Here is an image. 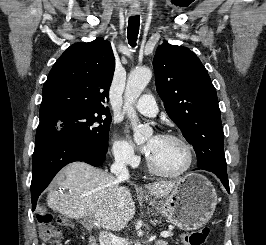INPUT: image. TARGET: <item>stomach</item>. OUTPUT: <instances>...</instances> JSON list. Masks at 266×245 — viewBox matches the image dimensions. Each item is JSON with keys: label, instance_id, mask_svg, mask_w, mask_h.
<instances>
[{"label": "stomach", "instance_id": "stomach-1", "mask_svg": "<svg viewBox=\"0 0 266 245\" xmlns=\"http://www.w3.org/2000/svg\"><path fill=\"white\" fill-rule=\"evenodd\" d=\"M145 199L152 209L182 231H196L204 227L210 221L218 203L212 183L199 173H189L181 177L179 185L160 201L148 197Z\"/></svg>", "mask_w": 266, "mask_h": 245}]
</instances>
